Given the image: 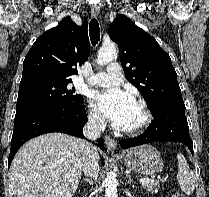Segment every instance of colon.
Returning a JSON list of instances; mask_svg holds the SVG:
<instances>
[{"label":"colon","instance_id":"colon-1","mask_svg":"<svg viewBox=\"0 0 209 197\" xmlns=\"http://www.w3.org/2000/svg\"><path fill=\"white\" fill-rule=\"evenodd\" d=\"M173 197H186V196L183 193H181V192H175L173 194Z\"/></svg>","mask_w":209,"mask_h":197}]
</instances>
